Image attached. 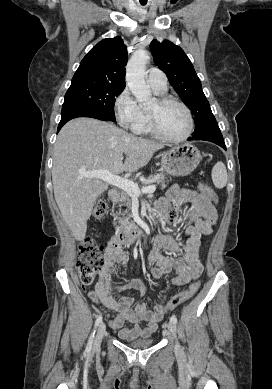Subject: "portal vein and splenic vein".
<instances>
[{
    "label": "portal vein and splenic vein",
    "mask_w": 272,
    "mask_h": 389,
    "mask_svg": "<svg viewBox=\"0 0 272 389\" xmlns=\"http://www.w3.org/2000/svg\"><path fill=\"white\" fill-rule=\"evenodd\" d=\"M81 176L87 178H99L102 181L109 183L123 191L127 192L131 197L137 198L144 193H153L156 190L155 185H149L140 189L136 183L118 175L112 174L107 170H95L90 172H82Z\"/></svg>",
    "instance_id": "18ae733b"
}]
</instances>
